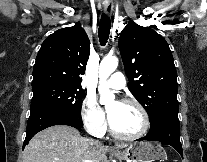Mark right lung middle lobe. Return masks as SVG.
I'll return each instance as SVG.
<instances>
[{
    "mask_svg": "<svg viewBox=\"0 0 207 162\" xmlns=\"http://www.w3.org/2000/svg\"><path fill=\"white\" fill-rule=\"evenodd\" d=\"M84 91L81 88L48 84L33 88L31 110L38 107H55L81 118Z\"/></svg>",
    "mask_w": 207,
    "mask_h": 162,
    "instance_id": "1",
    "label": "right lung middle lobe"
}]
</instances>
